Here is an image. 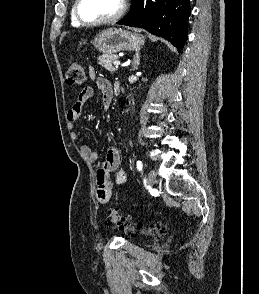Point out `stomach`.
Returning a JSON list of instances; mask_svg holds the SVG:
<instances>
[{"label": "stomach", "instance_id": "1", "mask_svg": "<svg viewBox=\"0 0 259 294\" xmlns=\"http://www.w3.org/2000/svg\"><path fill=\"white\" fill-rule=\"evenodd\" d=\"M92 44L101 53L113 55L121 51H139L144 37L131 31L108 28L94 38Z\"/></svg>", "mask_w": 259, "mask_h": 294}]
</instances>
